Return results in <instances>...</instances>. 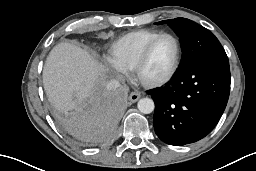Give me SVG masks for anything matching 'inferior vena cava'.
Instances as JSON below:
<instances>
[{"label": "inferior vena cava", "mask_w": 256, "mask_h": 171, "mask_svg": "<svg viewBox=\"0 0 256 171\" xmlns=\"http://www.w3.org/2000/svg\"><path fill=\"white\" fill-rule=\"evenodd\" d=\"M106 87H107L108 90H116L117 88L120 87V83H119L118 80L114 79V80H111L110 82H108L106 84Z\"/></svg>", "instance_id": "obj_1"}]
</instances>
